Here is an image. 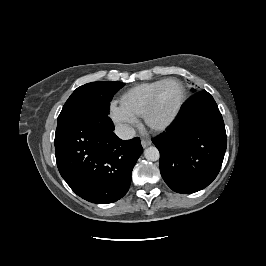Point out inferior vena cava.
<instances>
[{"mask_svg": "<svg viewBox=\"0 0 266 266\" xmlns=\"http://www.w3.org/2000/svg\"><path fill=\"white\" fill-rule=\"evenodd\" d=\"M115 134L122 140L132 139L135 136V130L129 125L119 124L115 127Z\"/></svg>", "mask_w": 266, "mask_h": 266, "instance_id": "602c4592", "label": "inferior vena cava"}]
</instances>
